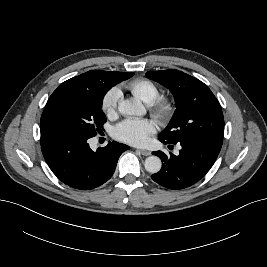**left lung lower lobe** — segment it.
I'll return each mask as SVG.
<instances>
[{
  "label": "left lung lower lobe",
  "mask_w": 267,
  "mask_h": 267,
  "mask_svg": "<svg viewBox=\"0 0 267 267\" xmlns=\"http://www.w3.org/2000/svg\"><path fill=\"white\" fill-rule=\"evenodd\" d=\"M161 142L173 145L166 141ZM222 143L223 136L202 135L180 141L182 148L178 156L172 153L167 156L161 151H154L152 154L160 157L162 168L151 178L161 186L173 190L192 186L213 166Z\"/></svg>",
  "instance_id": "0a47b994"
}]
</instances>
